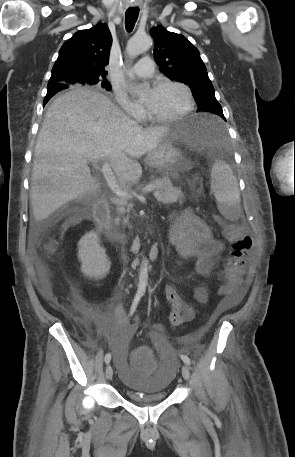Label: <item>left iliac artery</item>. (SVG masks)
Segmentation results:
<instances>
[{"mask_svg": "<svg viewBox=\"0 0 295 457\" xmlns=\"http://www.w3.org/2000/svg\"><path fill=\"white\" fill-rule=\"evenodd\" d=\"M181 359L183 360V362H185L187 365H190L191 364V361L189 359L188 356L186 355H180Z\"/></svg>", "mask_w": 295, "mask_h": 457, "instance_id": "obj_1", "label": "left iliac artery"}]
</instances>
